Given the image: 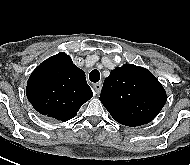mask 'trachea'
<instances>
[{"mask_svg": "<svg viewBox=\"0 0 190 165\" xmlns=\"http://www.w3.org/2000/svg\"><path fill=\"white\" fill-rule=\"evenodd\" d=\"M90 81L96 83L100 80V72L98 70H92L89 74Z\"/></svg>", "mask_w": 190, "mask_h": 165, "instance_id": "trachea-1", "label": "trachea"}]
</instances>
